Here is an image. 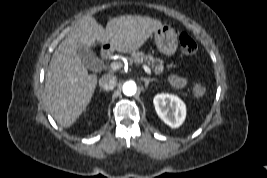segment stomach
Masks as SVG:
<instances>
[{
    "instance_id": "stomach-1",
    "label": "stomach",
    "mask_w": 267,
    "mask_h": 178,
    "mask_svg": "<svg viewBox=\"0 0 267 178\" xmlns=\"http://www.w3.org/2000/svg\"><path fill=\"white\" fill-rule=\"evenodd\" d=\"M153 39L158 50L164 55L171 56L176 52L178 39L173 28L163 25L154 32Z\"/></svg>"
}]
</instances>
